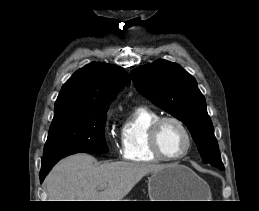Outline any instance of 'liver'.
<instances>
[{
    "mask_svg": "<svg viewBox=\"0 0 259 211\" xmlns=\"http://www.w3.org/2000/svg\"><path fill=\"white\" fill-rule=\"evenodd\" d=\"M164 165L139 162L99 164L86 153L59 161L45 179L49 201H122L147 174Z\"/></svg>",
    "mask_w": 259,
    "mask_h": 211,
    "instance_id": "liver-1",
    "label": "liver"
}]
</instances>
